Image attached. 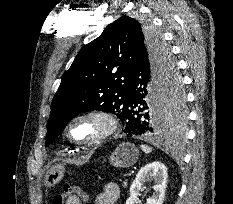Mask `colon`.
<instances>
[{
    "label": "colon",
    "mask_w": 233,
    "mask_h": 204,
    "mask_svg": "<svg viewBox=\"0 0 233 204\" xmlns=\"http://www.w3.org/2000/svg\"><path fill=\"white\" fill-rule=\"evenodd\" d=\"M85 198L86 195L81 189L66 184L63 192L54 196L52 204H81V201Z\"/></svg>",
    "instance_id": "obj_1"
}]
</instances>
